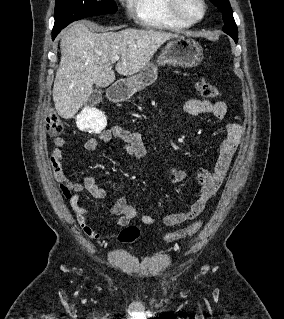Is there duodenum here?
Here are the masks:
<instances>
[{"label": "duodenum", "mask_w": 284, "mask_h": 319, "mask_svg": "<svg viewBox=\"0 0 284 319\" xmlns=\"http://www.w3.org/2000/svg\"><path fill=\"white\" fill-rule=\"evenodd\" d=\"M130 95L128 89L124 86H113L109 90V97L112 102H122Z\"/></svg>", "instance_id": "duodenum-1"}]
</instances>
